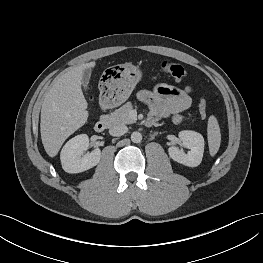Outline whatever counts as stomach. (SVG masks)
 <instances>
[{
  "instance_id": "1",
  "label": "stomach",
  "mask_w": 263,
  "mask_h": 263,
  "mask_svg": "<svg viewBox=\"0 0 263 263\" xmlns=\"http://www.w3.org/2000/svg\"><path fill=\"white\" fill-rule=\"evenodd\" d=\"M142 78L139 66L131 63L107 68L101 78V94L110 106L124 103Z\"/></svg>"
}]
</instances>
